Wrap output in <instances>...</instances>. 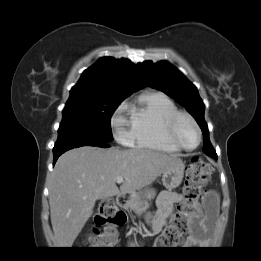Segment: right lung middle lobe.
<instances>
[{
    "instance_id": "right-lung-middle-lobe-1",
    "label": "right lung middle lobe",
    "mask_w": 261,
    "mask_h": 261,
    "mask_svg": "<svg viewBox=\"0 0 261 261\" xmlns=\"http://www.w3.org/2000/svg\"><path fill=\"white\" fill-rule=\"evenodd\" d=\"M124 100L119 96L69 98L55 146L80 141L111 142L110 119Z\"/></svg>"
}]
</instances>
